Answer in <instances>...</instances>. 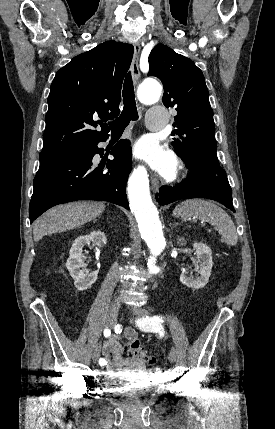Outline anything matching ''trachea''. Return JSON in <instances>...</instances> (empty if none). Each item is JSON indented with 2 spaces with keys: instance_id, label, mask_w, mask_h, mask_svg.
I'll return each instance as SVG.
<instances>
[{
  "instance_id": "1",
  "label": "trachea",
  "mask_w": 275,
  "mask_h": 429,
  "mask_svg": "<svg viewBox=\"0 0 275 429\" xmlns=\"http://www.w3.org/2000/svg\"><path fill=\"white\" fill-rule=\"evenodd\" d=\"M123 104L124 107L121 115L112 122H109L112 133L123 132L131 120L135 121L138 119L133 80L130 72L127 74L123 85Z\"/></svg>"
}]
</instances>
